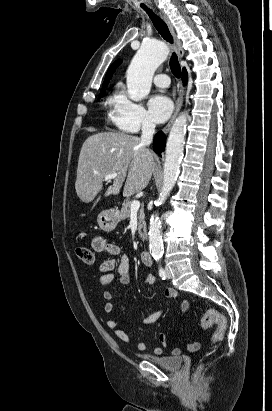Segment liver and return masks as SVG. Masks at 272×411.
I'll use <instances>...</instances> for the list:
<instances>
[{
  "label": "liver",
  "instance_id": "liver-1",
  "mask_svg": "<svg viewBox=\"0 0 272 411\" xmlns=\"http://www.w3.org/2000/svg\"><path fill=\"white\" fill-rule=\"evenodd\" d=\"M154 168L153 153L141 145L137 136L115 132L97 133L89 136L82 145L75 182L76 193L83 202L89 203L102 190L104 177L117 173L105 197L119 194L124 182L123 196L129 197L147 187Z\"/></svg>",
  "mask_w": 272,
  "mask_h": 411
}]
</instances>
